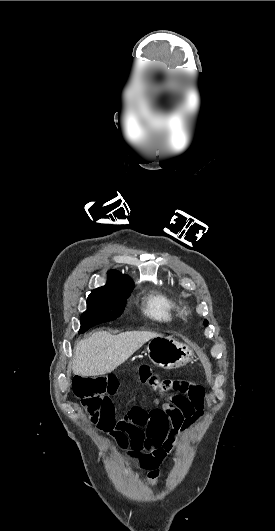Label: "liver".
<instances>
[{"label": "liver", "instance_id": "liver-1", "mask_svg": "<svg viewBox=\"0 0 275 531\" xmlns=\"http://www.w3.org/2000/svg\"><path fill=\"white\" fill-rule=\"evenodd\" d=\"M154 337H158L157 333L150 331H126L120 335H110L106 331L93 333L75 345L73 373L82 377L112 373Z\"/></svg>", "mask_w": 275, "mask_h": 531}]
</instances>
